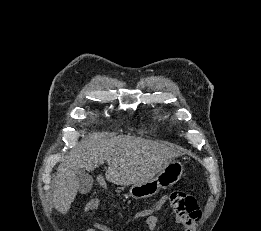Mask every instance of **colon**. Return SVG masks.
<instances>
[{"mask_svg":"<svg viewBox=\"0 0 261 231\" xmlns=\"http://www.w3.org/2000/svg\"><path fill=\"white\" fill-rule=\"evenodd\" d=\"M168 203L172 213L182 221H199L202 218V212L195 198L185 192L177 191L169 193ZM156 208H158V205H152L146 211L150 212Z\"/></svg>","mask_w":261,"mask_h":231,"instance_id":"obj_1","label":"colon"}]
</instances>
